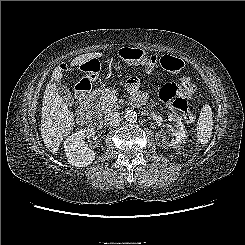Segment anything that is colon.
<instances>
[{
	"label": "colon",
	"instance_id": "1",
	"mask_svg": "<svg viewBox=\"0 0 245 245\" xmlns=\"http://www.w3.org/2000/svg\"><path fill=\"white\" fill-rule=\"evenodd\" d=\"M120 55L126 61H136L145 65L146 72L152 71L156 65L155 56H147L142 50L137 49H122ZM161 66L168 72L179 73L184 69V63L179 58L164 55L160 58ZM86 88L90 89V85L86 84ZM195 91V83L188 74H184L181 77V82L170 81L162 85L159 90L160 100L168 104L173 113L183 119L187 123H191L194 120V116L188 109L186 98L193 95ZM79 117H83V113H80Z\"/></svg>",
	"mask_w": 245,
	"mask_h": 245
}]
</instances>
